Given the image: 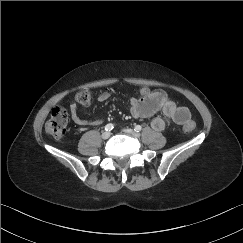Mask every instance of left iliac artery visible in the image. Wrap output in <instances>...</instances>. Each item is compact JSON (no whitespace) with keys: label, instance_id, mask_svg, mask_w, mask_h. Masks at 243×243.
I'll use <instances>...</instances> for the list:
<instances>
[{"label":"left iliac artery","instance_id":"left-iliac-artery-1","mask_svg":"<svg viewBox=\"0 0 243 243\" xmlns=\"http://www.w3.org/2000/svg\"><path fill=\"white\" fill-rule=\"evenodd\" d=\"M141 129H142V127L140 126V125H137V126H135V131H137V132H139V131H141Z\"/></svg>","mask_w":243,"mask_h":243}]
</instances>
